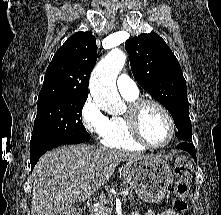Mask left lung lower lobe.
Returning a JSON list of instances; mask_svg holds the SVG:
<instances>
[{
  "label": "left lung lower lobe",
  "instance_id": "0a47b994",
  "mask_svg": "<svg viewBox=\"0 0 221 215\" xmlns=\"http://www.w3.org/2000/svg\"><path fill=\"white\" fill-rule=\"evenodd\" d=\"M176 148L187 151L196 161L195 147L193 144L190 143V141H184L178 144Z\"/></svg>",
  "mask_w": 221,
  "mask_h": 215
}]
</instances>
